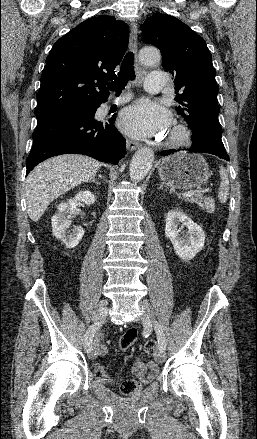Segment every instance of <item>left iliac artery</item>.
<instances>
[{
  "label": "left iliac artery",
  "mask_w": 257,
  "mask_h": 439,
  "mask_svg": "<svg viewBox=\"0 0 257 439\" xmlns=\"http://www.w3.org/2000/svg\"><path fill=\"white\" fill-rule=\"evenodd\" d=\"M155 330H156V334H157V338H158V344L159 347L165 351L166 350V338H165V334L163 332L162 326L156 322L155 324Z\"/></svg>",
  "instance_id": "left-iliac-artery-1"
}]
</instances>
